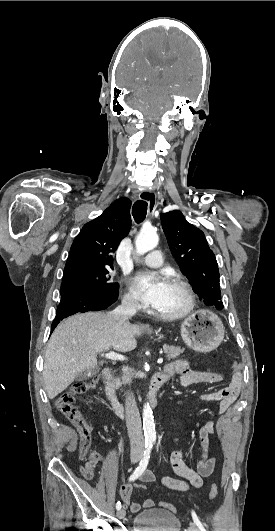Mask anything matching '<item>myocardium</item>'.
<instances>
[{"label":"myocardium","instance_id":"f54148a6","mask_svg":"<svg viewBox=\"0 0 275 531\" xmlns=\"http://www.w3.org/2000/svg\"><path fill=\"white\" fill-rule=\"evenodd\" d=\"M171 281L183 290L186 297V304L181 311L176 313H160L154 309L157 316H159L161 319L169 321L179 320L186 317L192 312L195 306V295L191 285L185 279L178 275H173L171 277Z\"/></svg>","mask_w":275,"mask_h":531}]
</instances>
